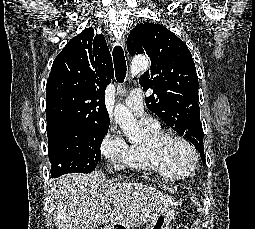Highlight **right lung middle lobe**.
Masks as SVG:
<instances>
[{"instance_id": "right-lung-middle-lobe-1", "label": "right lung middle lobe", "mask_w": 255, "mask_h": 229, "mask_svg": "<svg viewBox=\"0 0 255 229\" xmlns=\"http://www.w3.org/2000/svg\"><path fill=\"white\" fill-rule=\"evenodd\" d=\"M109 124H54L47 126L51 176L92 172L101 159L100 146Z\"/></svg>"}]
</instances>
